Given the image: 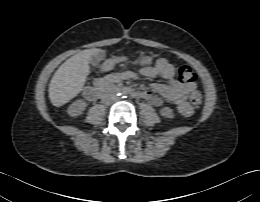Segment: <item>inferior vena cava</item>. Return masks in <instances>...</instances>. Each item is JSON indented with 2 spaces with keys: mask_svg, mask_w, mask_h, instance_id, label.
Returning a JSON list of instances; mask_svg holds the SVG:
<instances>
[{
  "mask_svg": "<svg viewBox=\"0 0 260 202\" xmlns=\"http://www.w3.org/2000/svg\"><path fill=\"white\" fill-rule=\"evenodd\" d=\"M116 100H117V98L113 94H106L102 98V102L104 104H112V103L116 102Z\"/></svg>",
  "mask_w": 260,
  "mask_h": 202,
  "instance_id": "1",
  "label": "inferior vena cava"
}]
</instances>
